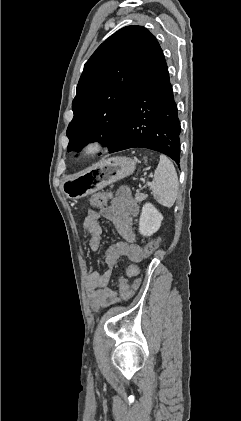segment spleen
Returning a JSON list of instances; mask_svg holds the SVG:
<instances>
[{
    "instance_id": "obj_1",
    "label": "spleen",
    "mask_w": 241,
    "mask_h": 421,
    "mask_svg": "<svg viewBox=\"0 0 241 421\" xmlns=\"http://www.w3.org/2000/svg\"><path fill=\"white\" fill-rule=\"evenodd\" d=\"M151 188L158 203L168 208L173 206L178 194V177L173 164L165 155H160Z\"/></svg>"
}]
</instances>
